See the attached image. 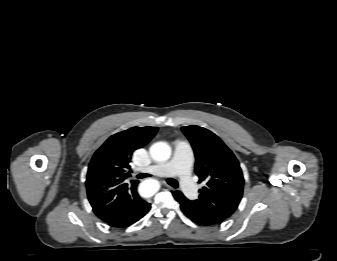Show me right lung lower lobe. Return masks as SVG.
Listing matches in <instances>:
<instances>
[{
	"label": "right lung lower lobe",
	"mask_w": 337,
	"mask_h": 261,
	"mask_svg": "<svg viewBox=\"0 0 337 261\" xmlns=\"http://www.w3.org/2000/svg\"><path fill=\"white\" fill-rule=\"evenodd\" d=\"M151 205L141 198L130 202L124 206V210L121 214L114 216L106 223L115 228H126L133 223L137 222L150 210Z\"/></svg>",
	"instance_id": "98d812e1"
}]
</instances>
